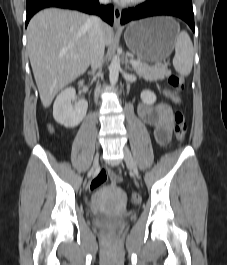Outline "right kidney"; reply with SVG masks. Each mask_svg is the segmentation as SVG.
Segmentation results:
<instances>
[{
    "label": "right kidney",
    "mask_w": 227,
    "mask_h": 265,
    "mask_svg": "<svg viewBox=\"0 0 227 265\" xmlns=\"http://www.w3.org/2000/svg\"><path fill=\"white\" fill-rule=\"evenodd\" d=\"M78 84L83 85V81ZM75 94L73 87L66 88L57 96L53 105L55 121L67 128L78 126L87 113L88 103L85 100H80L75 106H72L71 101Z\"/></svg>",
    "instance_id": "right-kidney-1"
}]
</instances>
